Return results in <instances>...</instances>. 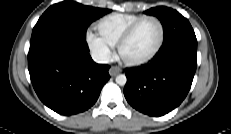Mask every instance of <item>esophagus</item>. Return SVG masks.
<instances>
[{
  "label": "esophagus",
  "mask_w": 231,
  "mask_h": 134,
  "mask_svg": "<svg viewBox=\"0 0 231 134\" xmlns=\"http://www.w3.org/2000/svg\"><path fill=\"white\" fill-rule=\"evenodd\" d=\"M120 72H121V69H120L119 67H111V68L109 69V74H110L111 76H116V75H118Z\"/></svg>",
  "instance_id": "1"
}]
</instances>
